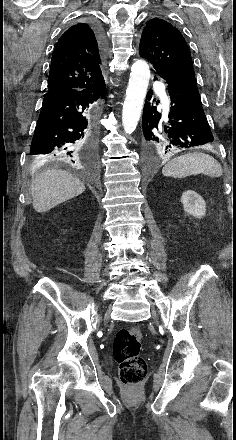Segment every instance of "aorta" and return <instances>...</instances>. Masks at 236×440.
<instances>
[{"label":"aorta","instance_id":"obj_1","mask_svg":"<svg viewBox=\"0 0 236 440\" xmlns=\"http://www.w3.org/2000/svg\"><path fill=\"white\" fill-rule=\"evenodd\" d=\"M150 79V70L144 60H136L130 73L123 104L122 124L126 134H132L139 122Z\"/></svg>","mask_w":236,"mask_h":440}]
</instances>
